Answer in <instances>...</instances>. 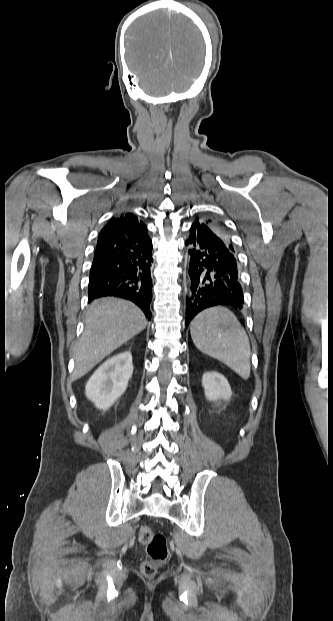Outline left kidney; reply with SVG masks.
<instances>
[{
	"instance_id": "5707ae66",
	"label": "left kidney",
	"mask_w": 333,
	"mask_h": 621,
	"mask_svg": "<svg viewBox=\"0 0 333 621\" xmlns=\"http://www.w3.org/2000/svg\"><path fill=\"white\" fill-rule=\"evenodd\" d=\"M206 399L209 401L229 400L232 396L227 379L217 372H206L202 377Z\"/></svg>"
}]
</instances>
